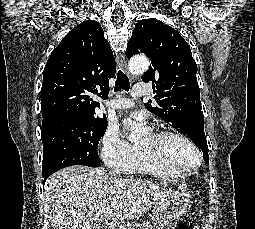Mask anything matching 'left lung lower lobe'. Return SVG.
<instances>
[{
    "mask_svg": "<svg viewBox=\"0 0 255 229\" xmlns=\"http://www.w3.org/2000/svg\"><path fill=\"white\" fill-rule=\"evenodd\" d=\"M199 125L204 128V116L200 117Z\"/></svg>",
    "mask_w": 255,
    "mask_h": 229,
    "instance_id": "1",
    "label": "left lung lower lobe"
}]
</instances>
